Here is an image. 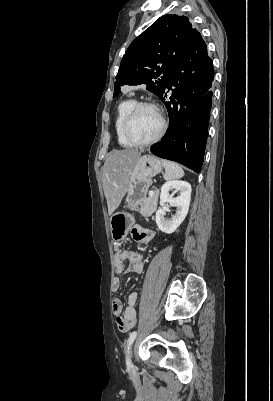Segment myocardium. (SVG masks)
<instances>
[{
    "instance_id": "obj_1",
    "label": "myocardium",
    "mask_w": 273,
    "mask_h": 401,
    "mask_svg": "<svg viewBox=\"0 0 273 401\" xmlns=\"http://www.w3.org/2000/svg\"><path fill=\"white\" fill-rule=\"evenodd\" d=\"M142 108H148V109L155 111L161 118V129L158 132V134L155 137H153L149 140H145V141L137 140V139L133 138L129 133V127H130V124H131L135 114ZM167 128H168L167 120L164 117L161 109L157 105H155L153 103H149V102H139V103H136L132 107V109L129 111L127 117L125 118V120L122 124V135H123L124 139L127 142H129L130 144L137 146V147H144V146H149V145H152V144L160 141L164 137V135L167 131Z\"/></svg>"
}]
</instances>
